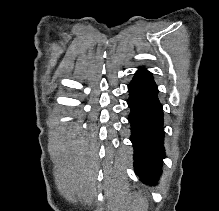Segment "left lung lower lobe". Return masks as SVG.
I'll list each match as a JSON object with an SVG mask.
<instances>
[{
    "instance_id": "left-lung-lower-lobe-1",
    "label": "left lung lower lobe",
    "mask_w": 219,
    "mask_h": 211,
    "mask_svg": "<svg viewBox=\"0 0 219 211\" xmlns=\"http://www.w3.org/2000/svg\"><path fill=\"white\" fill-rule=\"evenodd\" d=\"M134 168L144 183L157 181L165 157L163 109L152 74L141 67L128 85Z\"/></svg>"
}]
</instances>
